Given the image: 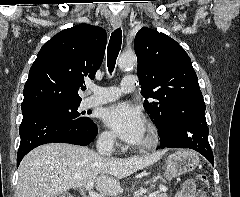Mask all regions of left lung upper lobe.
I'll use <instances>...</instances> for the list:
<instances>
[{"label": "left lung upper lobe", "mask_w": 240, "mask_h": 197, "mask_svg": "<svg viewBox=\"0 0 240 197\" xmlns=\"http://www.w3.org/2000/svg\"><path fill=\"white\" fill-rule=\"evenodd\" d=\"M134 49L144 107L152 120L165 112L180 113L191 97L203 99L191 59L174 39L142 27Z\"/></svg>", "instance_id": "1"}]
</instances>
